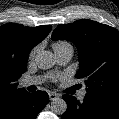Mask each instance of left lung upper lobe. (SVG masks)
<instances>
[{
	"mask_svg": "<svg viewBox=\"0 0 119 119\" xmlns=\"http://www.w3.org/2000/svg\"><path fill=\"white\" fill-rule=\"evenodd\" d=\"M53 40L72 41L79 52L77 78L85 80L88 94L119 100V32L105 24L78 20L61 24Z\"/></svg>",
	"mask_w": 119,
	"mask_h": 119,
	"instance_id": "obj_1",
	"label": "left lung upper lobe"
}]
</instances>
